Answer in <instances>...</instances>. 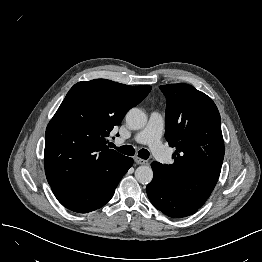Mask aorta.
Instances as JSON below:
<instances>
[{
	"label": "aorta",
	"mask_w": 262,
	"mask_h": 262,
	"mask_svg": "<svg viewBox=\"0 0 262 262\" xmlns=\"http://www.w3.org/2000/svg\"><path fill=\"white\" fill-rule=\"evenodd\" d=\"M127 125L134 130L143 128L147 123L146 114L139 108H132L126 114ZM136 180L143 184H149L153 179V170L149 166H139L135 171Z\"/></svg>",
	"instance_id": "obj_1"
}]
</instances>
